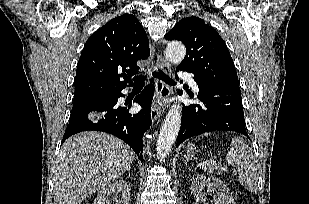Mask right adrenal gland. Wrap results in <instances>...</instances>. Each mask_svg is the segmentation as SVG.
I'll return each instance as SVG.
<instances>
[{
    "label": "right adrenal gland",
    "instance_id": "2a0ac1e0",
    "mask_svg": "<svg viewBox=\"0 0 309 204\" xmlns=\"http://www.w3.org/2000/svg\"><path fill=\"white\" fill-rule=\"evenodd\" d=\"M127 173H128V175H129V177H130V169L128 170V172H127Z\"/></svg>",
    "mask_w": 309,
    "mask_h": 204
}]
</instances>
